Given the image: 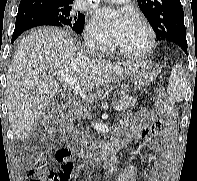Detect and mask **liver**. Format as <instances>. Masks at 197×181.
Segmentation results:
<instances>
[{"label":"liver","instance_id":"obj_1","mask_svg":"<svg viewBox=\"0 0 197 181\" xmlns=\"http://www.w3.org/2000/svg\"><path fill=\"white\" fill-rule=\"evenodd\" d=\"M136 63H111L77 48L69 33L40 28L22 39L7 74V108L12 131L29 135L35 120L50 101L62 93L54 72L80 80L83 91L119 82L133 73Z\"/></svg>","mask_w":197,"mask_h":181}]
</instances>
